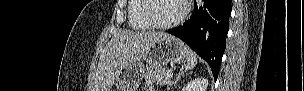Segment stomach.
Wrapping results in <instances>:
<instances>
[{
  "label": "stomach",
  "instance_id": "0dacf381",
  "mask_svg": "<svg viewBox=\"0 0 304 91\" xmlns=\"http://www.w3.org/2000/svg\"><path fill=\"white\" fill-rule=\"evenodd\" d=\"M189 51V48L174 36L159 38L143 55L131 59L120 69L116 78L117 89L136 91L144 76V62L158 67L168 63H184L187 61Z\"/></svg>",
  "mask_w": 304,
  "mask_h": 91
}]
</instances>
